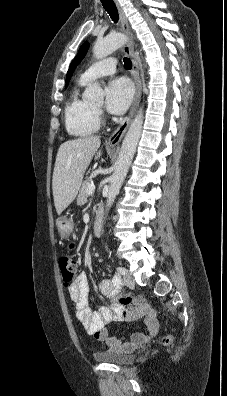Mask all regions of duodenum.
I'll list each match as a JSON object with an SVG mask.
<instances>
[{
  "label": "duodenum",
  "instance_id": "1",
  "mask_svg": "<svg viewBox=\"0 0 227 396\" xmlns=\"http://www.w3.org/2000/svg\"><path fill=\"white\" fill-rule=\"evenodd\" d=\"M93 229H94V233L96 235H100L101 234V231H102V219H101V217H98L95 220Z\"/></svg>",
  "mask_w": 227,
  "mask_h": 396
}]
</instances>
